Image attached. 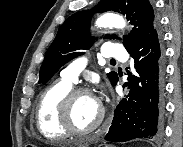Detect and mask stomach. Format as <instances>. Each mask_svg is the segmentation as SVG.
<instances>
[{"mask_svg": "<svg viewBox=\"0 0 183 147\" xmlns=\"http://www.w3.org/2000/svg\"><path fill=\"white\" fill-rule=\"evenodd\" d=\"M99 147H102V145H101V146H99ZM105 147H110V146H105Z\"/></svg>", "mask_w": 183, "mask_h": 147, "instance_id": "stomach-1", "label": "stomach"}]
</instances>
